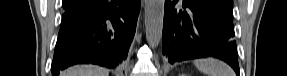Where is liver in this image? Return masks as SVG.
Returning <instances> with one entry per match:
<instances>
[{"instance_id":"6515ba94","label":"liver","mask_w":287,"mask_h":76,"mask_svg":"<svg viewBox=\"0 0 287 76\" xmlns=\"http://www.w3.org/2000/svg\"><path fill=\"white\" fill-rule=\"evenodd\" d=\"M107 69L95 65H77L62 72V76H108Z\"/></svg>"}]
</instances>
